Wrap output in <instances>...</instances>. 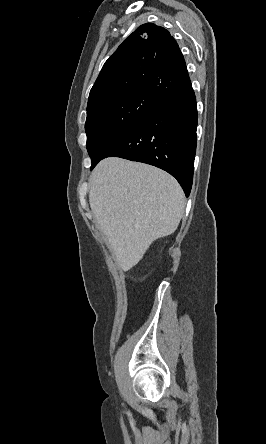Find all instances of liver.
Segmentation results:
<instances>
[{
	"mask_svg": "<svg viewBox=\"0 0 266 444\" xmlns=\"http://www.w3.org/2000/svg\"><path fill=\"white\" fill-rule=\"evenodd\" d=\"M91 210L123 271L134 267L149 246L172 234L184 213L179 183L156 167L106 158L90 177Z\"/></svg>",
	"mask_w": 266,
	"mask_h": 444,
	"instance_id": "1",
	"label": "liver"
}]
</instances>
